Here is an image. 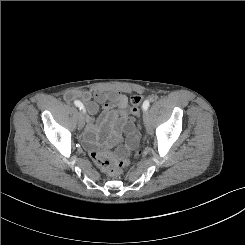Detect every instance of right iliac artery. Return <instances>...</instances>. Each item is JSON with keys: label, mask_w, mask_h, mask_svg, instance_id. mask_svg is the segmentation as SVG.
Wrapping results in <instances>:
<instances>
[{"label": "right iliac artery", "mask_w": 245, "mask_h": 245, "mask_svg": "<svg viewBox=\"0 0 245 245\" xmlns=\"http://www.w3.org/2000/svg\"><path fill=\"white\" fill-rule=\"evenodd\" d=\"M74 104H75L80 110H83V111L85 112L84 105H83L79 100L74 101Z\"/></svg>", "instance_id": "obj_1"}]
</instances>
